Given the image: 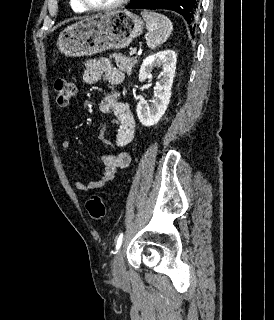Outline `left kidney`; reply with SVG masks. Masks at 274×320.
Returning a JSON list of instances; mask_svg holds the SVG:
<instances>
[{
  "instance_id": "5707ae66",
  "label": "left kidney",
  "mask_w": 274,
  "mask_h": 320,
  "mask_svg": "<svg viewBox=\"0 0 274 320\" xmlns=\"http://www.w3.org/2000/svg\"><path fill=\"white\" fill-rule=\"evenodd\" d=\"M177 54L174 50H163L144 60L139 70V82H145L152 76L154 66L160 68V82H157L154 90V98L151 104L140 100L136 106L137 116L142 126H154L165 114L171 98V88L176 70Z\"/></svg>"
}]
</instances>
